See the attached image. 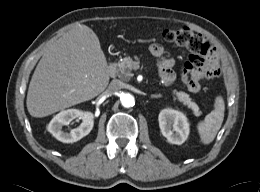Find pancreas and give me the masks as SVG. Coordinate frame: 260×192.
I'll return each instance as SVG.
<instances>
[{
	"mask_svg": "<svg viewBox=\"0 0 260 192\" xmlns=\"http://www.w3.org/2000/svg\"><path fill=\"white\" fill-rule=\"evenodd\" d=\"M132 63L133 60L129 56L124 57L116 64V74L122 80L128 81L133 76L132 73ZM173 94L176 98L184 105L190 108L193 111V114L196 116L201 115L198 105L192 101L190 96L182 91L173 90Z\"/></svg>",
	"mask_w": 260,
	"mask_h": 192,
	"instance_id": "1",
	"label": "pancreas"
}]
</instances>
